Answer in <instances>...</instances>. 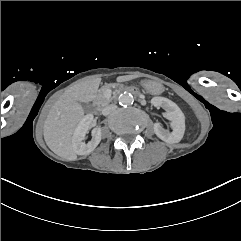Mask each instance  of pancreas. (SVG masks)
<instances>
[{"label": "pancreas", "instance_id": "obj_1", "mask_svg": "<svg viewBox=\"0 0 241 241\" xmlns=\"http://www.w3.org/2000/svg\"><path fill=\"white\" fill-rule=\"evenodd\" d=\"M104 92H105V89H103V88L99 91V95H98L97 101H96V103L98 105L105 106L111 101V98L105 97Z\"/></svg>", "mask_w": 241, "mask_h": 241}]
</instances>
